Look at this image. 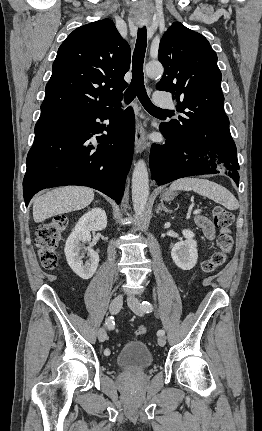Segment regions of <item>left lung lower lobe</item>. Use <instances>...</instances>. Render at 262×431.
Instances as JSON below:
<instances>
[{"instance_id":"1","label":"left lung lower lobe","mask_w":262,"mask_h":431,"mask_svg":"<svg viewBox=\"0 0 262 431\" xmlns=\"http://www.w3.org/2000/svg\"><path fill=\"white\" fill-rule=\"evenodd\" d=\"M159 129L166 139L165 144H153L150 153L152 179L158 185L188 176L217 173L229 175L238 185L239 164L232 137L214 149L173 139L162 124Z\"/></svg>"}]
</instances>
